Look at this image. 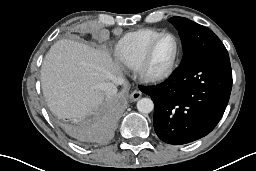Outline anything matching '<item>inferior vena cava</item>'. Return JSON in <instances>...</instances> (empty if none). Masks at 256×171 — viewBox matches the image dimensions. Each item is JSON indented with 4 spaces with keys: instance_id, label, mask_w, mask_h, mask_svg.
<instances>
[{
    "instance_id": "1",
    "label": "inferior vena cava",
    "mask_w": 256,
    "mask_h": 171,
    "mask_svg": "<svg viewBox=\"0 0 256 171\" xmlns=\"http://www.w3.org/2000/svg\"><path fill=\"white\" fill-rule=\"evenodd\" d=\"M122 83H123L122 79H117L115 82L104 83L102 86V89L107 95L113 96L117 93V85Z\"/></svg>"
}]
</instances>
